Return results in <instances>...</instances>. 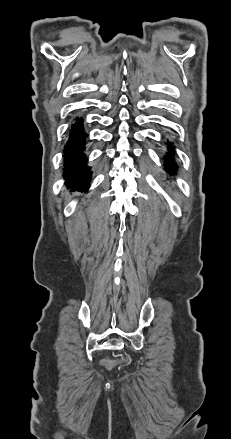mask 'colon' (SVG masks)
<instances>
[{
	"mask_svg": "<svg viewBox=\"0 0 231 439\" xmlns=\"http://www.w3.org/2000/svg\"><path fill=\"white\" fill-rule=\"evenodd\" d=\"M128 362H129V358H123L121 360H107L104 362V365L107 368H113L117 365H121V364L128 363Z\"/></svg>",
	"mask_w": 231,
	"mask_h": 439,
	"instance_id": "obj_1",
	"label": "colon"
}]
</instances>
